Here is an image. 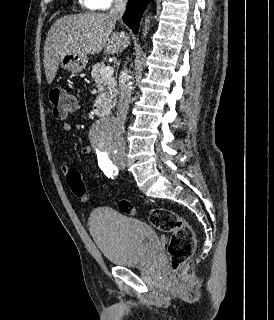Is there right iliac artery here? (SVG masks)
<instances>
[{"mask_svg": "<svg viewBox=\"0 0 274 320\" xmlns=\"http://www.w3.org/2000/svg\"><path fill=\"white\" fill-rule=\"evenodd\" d=\"M98 165L107 176L110 175L109 177H112V175L116 176L118 174L117 167L114 166L111 160L108 158L99 159Z\"/></svg>", "mask_w": 274, "mask_h": 320, "instance_id": "obj_1", "label": "right iliac artery"}]
</instances>
